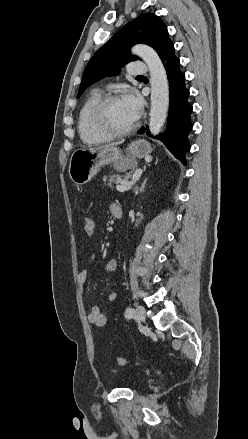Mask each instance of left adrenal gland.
Segmentation results:
<instances>
[{"mask_svg":"<svg viewBox=\"0 0 248 439\" xmlns=\"http://www.w3.org/2000/svg\"><path fill=\"white\" fill-rule=\"evenodd\" d=\"M146 181H147V179H145L144 181H143V183H142V185H141V187H140V189L139 190H137V192H143L144 191V188H145V184H146Z\"/></svg>","mask_w":248,"mask_h":439,"instance_id":"left-adrenal-gland-1","label":"left adrenal gland"}]
</instances>
